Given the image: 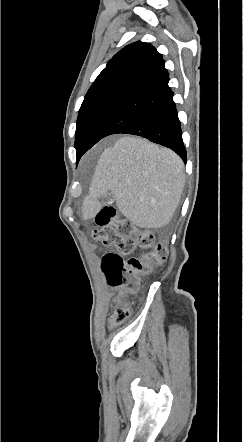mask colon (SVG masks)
<instances>
[{
    "label": "colon",
    "instance_id": "5ec220e1",
    "mask_svg": "<svg viewBox=\"0 0 243 442\" xmlns=\"http://www.w3.org/2000/svg\"><path fill=\"white\" fill-rule=\"evenodd\" d=\"M97 229L93 238L103 246L114 247L119 254L132 253L136 247L143 254L123 260L120 256L107 253L103 256L101 269L107 284L119 289L115 300L116 322H121L129 315V295L134 294L143 277L147 276L155 264L165 261L169 256V248L165 242H156L153 234L148 231H137L133 224L117 217L112 205L102 208L95 217Z\"/></svg>",
    "mask_w": 243,
    "mask_h": 442
}]
</instances>
